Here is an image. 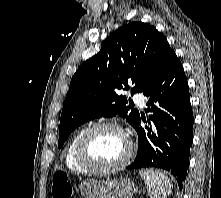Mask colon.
I'll return each mask as SVG.
<instances>
[{"instance_id": "1", "label": "colon", "mask_w": 221, "mask_h": 198, "mask_svg": "<svg viewBox=\"0 0 221 198\" xmlns=\"http://www.w3.org/2000/svg\"><path fill=\"white\" fill-rule=\"evenodd\" d=\"M72 185L63 172H56L52 178V198H72Z\"/></svg>"}]
</instances>
